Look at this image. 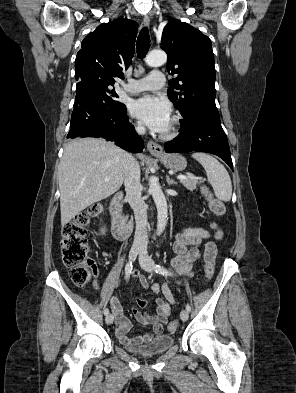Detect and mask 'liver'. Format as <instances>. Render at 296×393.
Here are the masks:
<instances>
[{
    "instance_id": "liver-1",
    "label": "liver",
    "mask_w": 296,
    "mask_h": 393,
    "mask_svg": "<svg viewBox=\"0 0 296 393\" xmlns=\"http://www.w3.org/2000/svg\"><path fill=\"white\" fill-rule=\"evenodd\" d=\"M125 155L120 147L102 138L76 139L65 145L58 172L62 226L120 189ZM107 177L109 181H105Z\"/></svg>"
}]
</instances>
